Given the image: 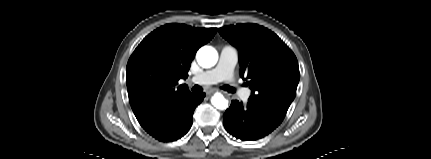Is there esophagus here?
Wrapping results in <instances>:
<instances>
[{
    "label": "esophagus",
    "instance_id": "34e87169",
    "mask_svg": "<svg viewBox=\"0 0 431 159\" xmlns=\"http://www.w3.org/2000/svg\"><path fill=\"white\" fill-rule=\"evenodd\" d=\"M216 90L215 89H208L207 91H206V94L207 95H211L212 93H214Z\"/></svg>",
    "mask_w": 431,
    "mask_h": 159
}]
</instances>
